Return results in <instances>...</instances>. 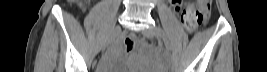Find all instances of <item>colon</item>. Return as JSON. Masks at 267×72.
<instances>
[{
  "label": "colon",
  "instance_id": "1",
  "mask_svg": "<svg viewBox=\"0 0 267 72\" xmlns=\"http://www.w3.org/2000/svg\"><path fill=\"white\" fill-rule=\"evenodd\" d=\"M83 6L85 1H79ZM211 12V0H197L195 1V7H193L189 13L197 17L198 23L206 21Z\"/></svg>",
  "mask_w": 267,
  "mask_h": 72
}]
</instances>
